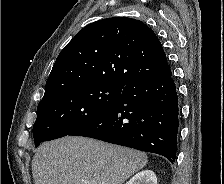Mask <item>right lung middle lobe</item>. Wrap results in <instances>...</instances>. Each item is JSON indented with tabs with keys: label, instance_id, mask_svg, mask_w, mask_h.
Here are the masks:
<instances>
[{
	"label": "right lung middle lobe",
	"instance_id": "dd1d6c3e",
	"mask_svg": "<svg viewBox=\"0 0 224 184\" xmlns=\"http://www.w3.org/2000/svg\"><path fill=\"white\" fill-rule=\"evenodd\" d=\"M124 87L110 82H85L40 101L33 126L35 146L69 135L91 121L121 94Z\"/></svg>",
	"mask_w": 224,
	"mask_h": 184
}]
</instances>
